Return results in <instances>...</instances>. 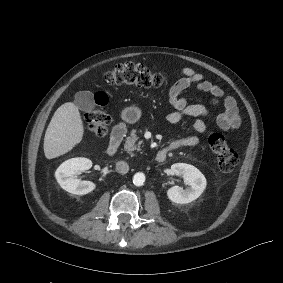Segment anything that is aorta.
<instances>
[{
    "label": "aorta",
    "mask_w": 283,
    "mask_h": 283,
    "mask_svg": "<svg viewBox=\"0 0 283 283\" xmlns=\"http://www.w3.org/2000/svg\"><path fill=\"white\" fill-rule=\"evenodd\" d=\"M145 182V175L142 172H138L133 177V184L135 186H142Z\"/></svg>",
    "instance_id": "obj_1"
}]
</instances>
